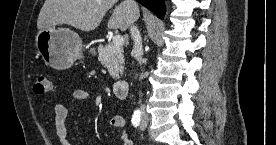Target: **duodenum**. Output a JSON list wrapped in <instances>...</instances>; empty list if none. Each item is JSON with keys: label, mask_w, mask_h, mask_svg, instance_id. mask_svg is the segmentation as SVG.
<instances>
[{"label": "duodenum", "mask_w": 276, "mask_h": 145, "mask_svg": "<svg viewBox=\"0 0 276 145\" xmlns=\"http://www.w3.org/2000/svg\"><path fill=\"white\" fill-rule=\"evenodd\" d=\"M129 83L125 79L118 80L113 85V93L116 98L124 100L127 98Z\"/></svg>", "instance_id": "1"}]
</instances>
